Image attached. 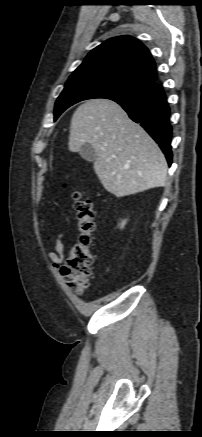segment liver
<instances>
[{
  "label": "liver",
  "mask_w": 202,
  "mask_h": 437,
  "mask_svg": "<svg viewBox=\"0 0 202 437\" xmlns=\"http://www.w3.org/2000/svg\"><path fill=\"white\" fill-rule=\"evenodd\" d=\"M84 143L96 152L94 170L103 187L117 197L164 186L167 162L157 143L112 100L92 99L74 112L68 148Z\"/></svg>",
  "instance_id": "liver-1"
}]
</instances>
